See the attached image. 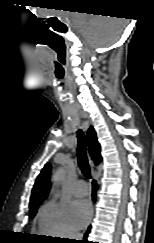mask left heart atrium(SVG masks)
I'll return each instance as SVG.
<instances>
[{
  "label": "left heart atrium",
  "mask_w": 154,
  "mask_h": 243,
  "mask_svg": "<svg viewBox=\"0 0 154 243\" xmlns=\"http://www.w3.org/2000/svg\"><path fill=\"white\" fill-rule=\"evenodd\" d=\"M91 204L88 200H77L70 205L69 217L72 224L81 229L85 227L91 216Z\"/></svg>",
  "instance_id": "obj_1"
}]
</instances>
